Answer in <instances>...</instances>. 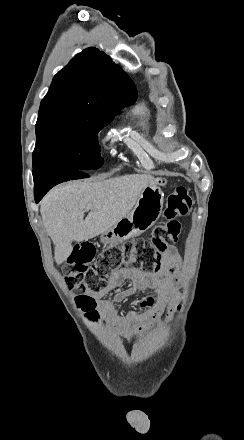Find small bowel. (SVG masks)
Here are the masks:
<instances>
[{"instance_id": "small-bowel-1", "label": "small bowel", "mask_w": 244, "mask_h": 440, "mask_svg": "<svg viewBox=\"0 0 244 440\" xmlns=\"http://www.w3.org/2000/svg\"><path fill=\"white\" fill-rule=\"evenodd\" d=\"M163 270L159 273H145L141 270L124 266L115 269L110 274L106 285L98 292H86L78 296V301L82 299H94L98 309V316H101L105 324L114 333L124 334L131 337L134 334L150 329V323L157 319L163 306L173 298V280L180 272L181 258L177 249L169 247L162 257ZM130 282L131 287L117 291L112 299L105 296ZM155 289L159 295V301L149 298L142 303L143 306L153 307L149 317H139L134 312L118 314L114 308V303L124 301L128 297L142 291ZM89 310L90 308H85Z\"/></svg>"}]
</instances>
